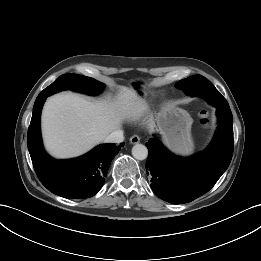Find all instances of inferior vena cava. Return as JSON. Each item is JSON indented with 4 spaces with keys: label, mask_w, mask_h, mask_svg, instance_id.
I'll return each mask as SVG.
<instances>
[{
    "label": "inferior vena cava",
    "mask_w": 261,
    "mask_h": 261,
    "mask_svg": "<svg viewBox=\"0 0 261 261\" xmlns=\"http://www.w3.org/2000/svg\"><path fill=\"white\" fill-rule=\"evenodd\" d=\"M124 140L123 131L121 129L111 132L105 139L106 143H120Z\"/></svg>",
    "instance_id": "1"
}]
</instances>
